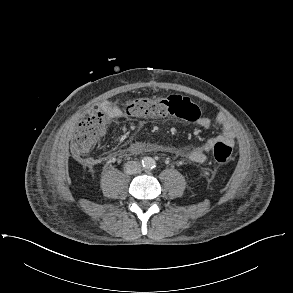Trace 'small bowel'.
<instances>
[{
	"instance_id": "obj_1",
	"label": "small bowel",
	"mask_w": 293,
	"mask_h": 293,
	"mask_svg": "<svg viewBox=\"0 0 293 293\" xmlns=\"http://www.w3.org/2000/svg\"><path fill=\"white\" fill-rule=\"evenodd\" d=\"M101 108L104 112L107 113L108 116L113 119L120 120L125 116L122 109L116 105L105 103L102 105ZM196 124L199 128L209 129L212 126V121L208 117L202 116L196 121ZM220 124L222 125L221 134L216 138L208 140L202 146L188 151L185 156L189 160L197 163H202L206 161L208 153L213 149L214 144L218 141H224L230 146L235 145L236 134L231 124L224 120H221ZM86 163L89 165H93L96 163V160L93 158H88L86 160Z\"/></svg>"
}]
</instances>
